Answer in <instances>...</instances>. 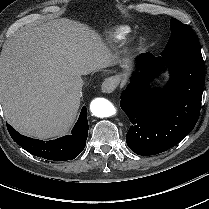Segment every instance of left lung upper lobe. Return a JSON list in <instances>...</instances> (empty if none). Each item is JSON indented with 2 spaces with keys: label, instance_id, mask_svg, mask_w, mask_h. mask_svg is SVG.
<instances>
[{
  "label": "left lung upper lobe",
  "instance_id": "1",
  "mask_svg": "<svg viewBox=\"0 0 209 209\" xmlns=\"http://www.w3.org/2000/svg\"><path fill=\"white\" fill-rule=\"evenodd\" d=\"M199 41L193 30L179 20L171 19V37L161 52V56L171 55L173 53L183 51L192 47H198Z\"/></svg>",
  "mask_w": 209,
  "mask_h": 209
}]
</instances>
